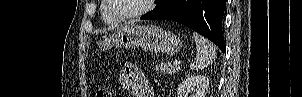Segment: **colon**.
<instances>
[{
    "label": "colon",
    "instance_id": "1",
    "mask_svg": "<svg viewBox=\"0 0 302 97\" xmlns=\"http://www.w3.org/2000/svg\"><path fill=\"white\" fill-rule=\"evenodd\" d=\"M111 92L108 89H100L97 93V97H111Z\"/></svg>",
    "mask_w": 302,
    "mask_h": 97
}]
</instances>
